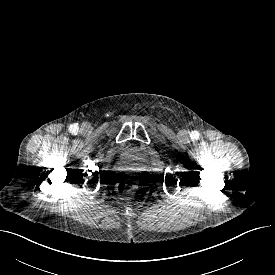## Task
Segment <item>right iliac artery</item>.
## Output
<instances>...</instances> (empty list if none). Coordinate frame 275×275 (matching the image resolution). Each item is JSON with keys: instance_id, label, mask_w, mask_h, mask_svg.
Here are the masks:
<instances>
[{"instance_id": "obj_1", "label": "right iliac artery", "mask_w": 275, "mask_h": 275, "mask_svg": "<svg viewBox=\"0 0 275 275\" xmlns=\"http://www.w3.org/2000/svg\"><path fill=\"white\" fill-rule=\"evenodd\" d=\"M77 130H78V127H77L76 124H73V125L70 126V131H71L72 133H76Z\"/></svg>"}]
</instances>
